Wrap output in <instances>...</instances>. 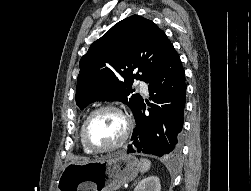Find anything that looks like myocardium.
<instances>
[{
  "label": "myocardium",
  "instance_id": "obj_1",
  "mask_svg": "<svg viewBox=\"0 0 251 191\" xmlns=\"http://www.w3.org/2000/svg\"><path fill=\"white\" fill-rule=\"evenodd\" d=\"M106 110L115 112L121 118V120L123 122L122 136H121V139L117 143L113 144L112 146H110L108 148L100 149V150L94 149L88 144V142L86 140V128H87L89 121L91 120V118L95 114H97L101 111H106ZM131 127H132V124H131L129 117L118 107L111 105V104L99 106V107L93 109L91 112H89L82 122V125L80 127V131H79V140H80L81 148L87 154H90V155H101V154L112 152L125 144V142L127 141L128 137H129Z\"/></svg>",
  "mask_w": 251,
  "mask_h": 191
}]
</instances>
